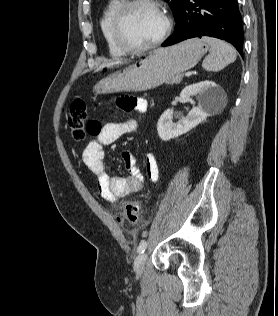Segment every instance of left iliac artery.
<instances>
[{"label": "left iliac artery", "instance_id": "left-iliac-artery-1", "mask_svg": "<svg viewBox=\"0 0 278 316\" xmlns=\"http://www.w3.org/2000/svg\"><path fill=\"white\" fill-rule=\"evenodd\" d=\"M147 247V241L146 240H142L138 246V253H144L145 249Z\"/></svg>", "mask_w": 278, "mask_h": 316}]
</instances>
